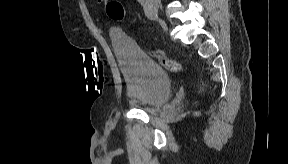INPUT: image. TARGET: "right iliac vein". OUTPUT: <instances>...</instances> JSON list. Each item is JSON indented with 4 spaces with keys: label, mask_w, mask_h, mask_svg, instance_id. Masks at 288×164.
Listing matches in <instances>:
<instances>
[{
    "label": "right iliac vein",
    "mask_w": 288,
    "mask_h": 164,
    "mask_svg": "<svg viewBox=\"0 0 288 164\" xmlns=\"http://www.w3.org/2000/svg\"><path fill=\"white\" fill-rule=\"evenodd\" d=\"M162 23H163L164 28H166V24L164 22H162Z\"/></svg>",
    "instance_id": "right-iliac-vein-1"
}]
</instances>
